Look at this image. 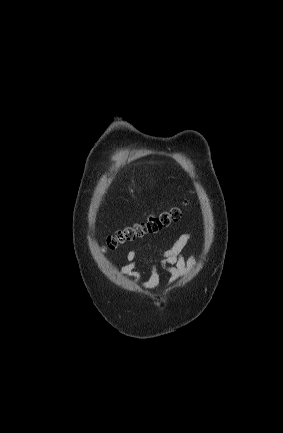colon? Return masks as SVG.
<instances>
[{
  "mask_svg": "<svg viewBox=\"0 0 283 433\" xmlns=\"http://www.w3.org/2000/svg\"><path fill=\"white\" fill-rule=\"evenodd\" d=\"M179 217L180 210L178 208H172L167 211L149 215L144 220L125 226L109 236L105 244V249L115 250L121 245L132 242L144 235L157 233L169 226L172 222L178 220Z\"/></svg>",
  "mask_w": 283,
  "mask_h": 433,
  "instance_id": "5ec220e1",
  "label": "colon"
}]
</instances>
